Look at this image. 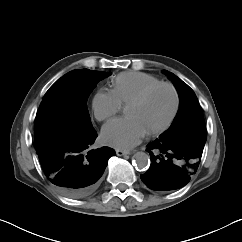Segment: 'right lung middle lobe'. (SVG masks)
Segmentation results:
<instances>
[{"label": "right lung middle lobe", "instance_id": "right-lung-middle-lobe-1", "mask_svg": "<svg viewBox=\"0 0 242 242\" xmlns=\"http://www.w3.org/2000/svg\"><path fill=\"white\" fill-rule=\"evenodd\" d=\"M108 72L76 69L57 80L46 92L37 111L35 135L52 127H91L87 99Z\"/></svg>", "mask_w": 242, "mask_h": 242}]
</instances>
